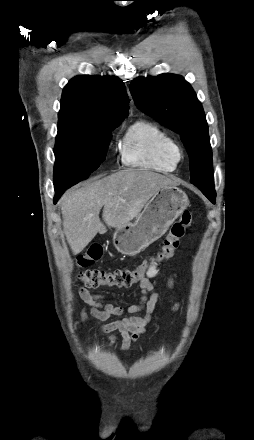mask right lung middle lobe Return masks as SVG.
I'll return each instance as SVG.
<instances>
[{
    "label": "right lung middle lobe",
    "instance_id": "obj_1",
    "mask_svg": "<svg viewBox=\"0 0 254 440\" xmlns=\"http://www.w3.org/2000/svg\"><path fill=\"white\" fill-rule=\"evenodd\" d=\"M121 121L90 124L59 120L54 154V186L72 185L85 180L105 160L109 131Z\"/></svg>",
    "mask_w": 254,
    "mask_h": 440
}]
</instances>
